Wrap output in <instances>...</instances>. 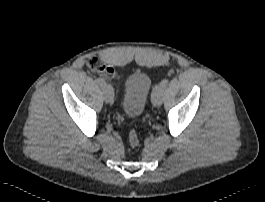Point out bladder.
Masks as SVG:
<instances>
[{
	"label": "bladder",
	"mask_w": 265,
	"mask_h": 202,
	"mask_svg": "<svg viewBox=\"0 0 265 202\" xmlns=\"http://www.w3.org/2000/svg\"><path fill=\"white\" fill-rule=\"evenodd\" d=\"M150 91V79L144 72L129 75L122 89V110L126 117L142 114Z\"/></svg>",
	"instance_id": "31cf9c89"
}]
</instances>
